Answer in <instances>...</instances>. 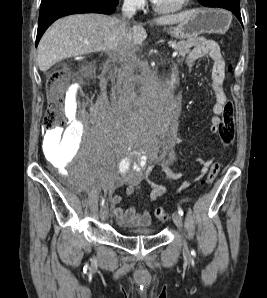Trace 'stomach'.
I'll list each match as a JSON object with an SVG mask.
<instances>
[{
    "label": "stomach",
    "mask_w": 267,
    "mask_h": 298,
    "mask_svg": "<svg viewBox=\"0 0 267 298\" xmlns=\"http://www.w3.org/2000/svg\"><path fill=\"white\" fill-rule=\"evenodd\" d=\"M189 15L167 32L177 39H186L201 33L225 34L232 21L231 14L218 8H203L188 11Z\"/></svg>",
    "instance_id": "obj_1"
}]
</instances>
